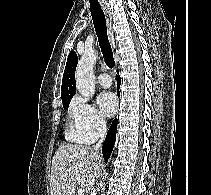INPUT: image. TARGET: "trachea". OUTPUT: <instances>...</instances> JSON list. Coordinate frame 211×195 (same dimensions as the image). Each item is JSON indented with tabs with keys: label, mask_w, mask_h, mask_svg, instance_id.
Instances as JSON below:
<instances>
[{
	"label": "trachea",
	"mask_w": 211,
	"mask_h": 195,
	"mask_svg": "<svg viewBox=\"0 0 211 195\" xmlns=\"http://www.w3.org/2000/svg\"><path fill=\"white\" fill-rule=\"evenodd\" d=\"M90 2V11L93 19L94 28L98 37L99 46L103 54L106 65L112 69L115 66L113 52L107 36L106 19L104 12L99 4L93 0Z\"/></svg>",
	"instance_id": "obj_1"
}]
</instances>
